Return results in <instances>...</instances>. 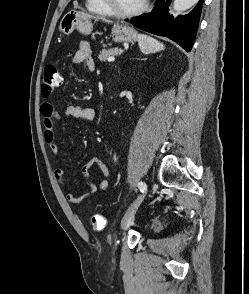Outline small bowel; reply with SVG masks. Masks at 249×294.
<instances>
[{
	"label": "small bowel",
	"mask_w": 249,
	"mask_h": 294,
	"mask_svg": "<svg viewBox=\"0 0 249 294\" xmlns=\"http://www.w3.org/2000/svg\"><path fill=\"white\" fill-rule=\"evenodd\" d=\"M84 63L89 71L95 69V64L91 56V46L87 41H81L72 58V64ZM40 112L44 120L45 127V141L48 144L53 156H59V145L54 134V123L57 120L65 118H75L81 120L92 121L95 118V110L91 107L78 106L73 103H67L62 112H58L54 105L50 102H43L40 107ZM98 168L103 178L96 184L91 179V169ZM81 174L85 179L88 191L82 195H78L74 191H69L66 195L69 202L74 204L82 203L89 196L97 193L98 191L106 190L110 185V171L107 164L100 158L93 157L88 160L81 169ZM54 177L57 182L64 188H67V181L63 169L57 168L54 170Z\"/></svg>",
	"instance_id": "c3829d8e"
}]
</instances>
